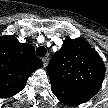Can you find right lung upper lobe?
<instances>
[{
	"label": "right lung upper lobe",
	"instance_id": "cb5924a9",
	"mask_svg": "<svg viewBox=\"0 0 108 108\" xmlns=\"http://www.w3.org/2000/svg\"><path fill=\"white\" fill-rule=\"evenodd\" d=\"M0 54V97L8 98L20 92L43 63L35 56L32 45L22 44L11 35L0 38Z\"/></svg>",
	"mask_w": 108,
	"mask_h": 108
}]
</instances>
